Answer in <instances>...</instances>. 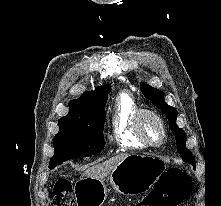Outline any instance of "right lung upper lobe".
<instances>
[{
    "label": "right lung upper lobe",
    "instance_id": "right-lung-upper-lobe-1",
    "mask_svg": "<svg viewBox=\"0 0 221 206\" xmlns=\"http://www.w3.org/2000/svg\"><path fill=\"white\" fill-rule=\"evenodd\" d=\"M110 92V85L96 88L94 91H88L82 94V96L69 103V114L85 113L95 111L98 109H105L108 94Z\"/></svg>",
    "mask_w": 221,
    "mask_h": 206
}]
</instances>
